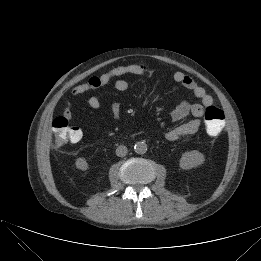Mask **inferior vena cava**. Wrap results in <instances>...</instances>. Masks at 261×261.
Segmentation results:
<instances>
[{
    "label": "inferior vena cava",
    "instance_id": "602c4592",
    "mask_svg": "<svg viewBox=\"0 0 261 261\" xmlns=\"http://www.w3.org/2000/svg\"><path fill=\"white\" fill-rule=\"evenodd\" d=\"M127 152H128V149H127V147L124 146V145H120V146H118L117 149H116V155H117L118 157H124V156L127 154Z\"/></svg>",
    "mask_w": 261,
    "mask_h": 261
}]
</instances>
